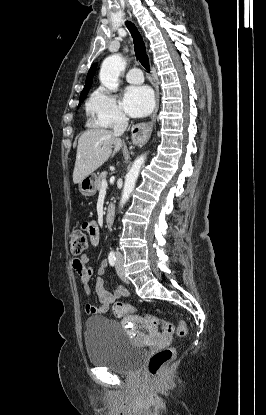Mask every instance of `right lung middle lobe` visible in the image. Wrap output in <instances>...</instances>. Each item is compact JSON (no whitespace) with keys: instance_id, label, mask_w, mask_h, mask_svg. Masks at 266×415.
Masks as SVG:
<instances>
[{"instance_id":"right-lung-middle-lobe-1","label":"right lung middle lobe","mask_w":266,"mask_h":415,"mask_svg":"<svg viewBox=\"0 0 266 415\" xmlns=\"http://www.w3.org/2000/svg\"><path fill=\"white\" fill-rule=\"evenodd\" d=\"M86 96H82V97H80V100H79V106H80V103L84 100V98H85Z\"/></svg>"}]
</instances>
